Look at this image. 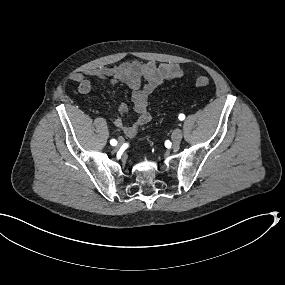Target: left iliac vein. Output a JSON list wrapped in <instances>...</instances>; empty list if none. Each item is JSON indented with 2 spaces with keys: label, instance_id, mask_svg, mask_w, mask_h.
I'll return each instance as SVG.
<instances>
[{
  "label": "left iliac vein",
  "instance_id": "obj_1",
  "mask_svg": "<svg viewBox=\"0 0 285 285\" xmlns=\"http://www.w3.org/2000/svg\"><path fill=\"white\" fill-rule=\"evenodd\" d=\"M182 131L180 129H175L171 135L173 147L177 148L180 144V141L182 139Z\"/></svg>",
  "mask_w": 285,
  "mask_h": 285
}]
</instances>
